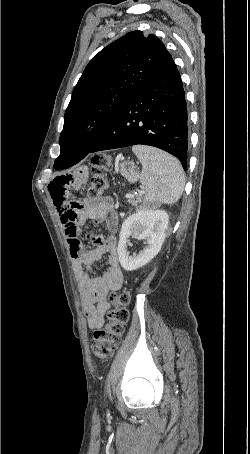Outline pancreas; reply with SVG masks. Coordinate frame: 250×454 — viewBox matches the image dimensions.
<instances>
[{"mask_svg": "<svg viewBox=\"0 0 250 454\" xmlns=\"http://www.w3.org/2000/svg\"><path fill=\"white\" fill-rule=\"evenodd\" d=\"M141 200L140 197H138V200L137 201H131L132 205H137V202H139Z\"/></svg>", "mask_w": 250, "mask_h": 454, "instance_id": "cf45deb5", "label": "pancreas"}]
</instances>
